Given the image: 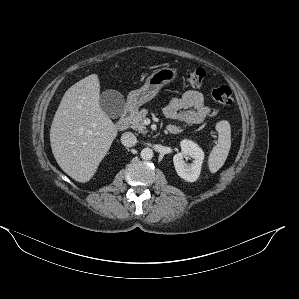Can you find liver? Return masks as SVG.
<instances>
[{
	"mask_svg": "<svg viewBox=\"0 0 299 299\" xmlns=\"http://www.w3.org/2000/svg\"><path fill=\"white\" fill-rule=\"evenodd\" d=\"M100 83L91 74L64 94L50 129V143L60 168L86 183L106 156L118 130L101 109Z\"/></svg>",
	"mask_w": 299,
	"mask_h": 299,
	"instance_id": "obj_1",
	"label": "liver"
}]
</instances>
